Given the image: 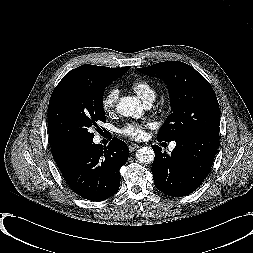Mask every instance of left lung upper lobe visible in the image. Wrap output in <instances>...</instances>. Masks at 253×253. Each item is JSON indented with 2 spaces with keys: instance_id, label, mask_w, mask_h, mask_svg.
Instances as JSON below:
<instances>
[{
  "instance_id": "obj_1",
  "label": "left lung upper lobe",
  "mask_w": 253,
  "mask_h": 253,
  "mask_svg": "<svg viewBox=\"0 0 253 253\" xmlns=\"http://www.w3.org/2000/svg\"><path fill=\"white\" fill-rule=\"evenodd\" d=\"M138 71L161 78L170 93L172 113L159 130L158 139L170 142L192 134L219 136L217 97L199 72L179 61L161 62Z\"/></svg>"
}]
</instances>
